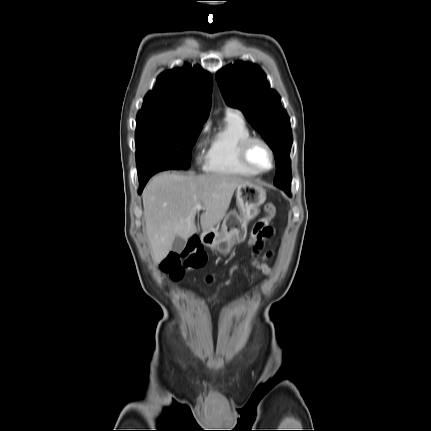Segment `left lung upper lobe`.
I'll return each instance as SVG.
<instances>
[{"instance_id": "5c2ea615", "label": "left lung upper lobe", "mask_w": 431, "mask_h": 431, "mask_svg": "<svg viewBox=\"0 0 431 431\" xmlns=\"http://www.w3.org/2000/svg\"><path fill=\"white\" fill-rule=\"evenodd\" d=\"M216 79L226 103L240 109L273 150L277 166L274 185L290 192V119L264 72L253 63L238 61L218 71Z\"/></svg>"}]
</instances>
